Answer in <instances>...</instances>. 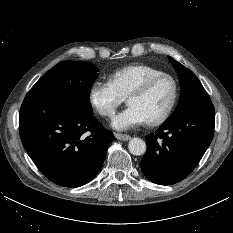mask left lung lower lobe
<instances>
[{
	"mask_svg": "<svg viewBox=\"0 0 233 233\" xmlns=\"http://www.w3.org/2000/svg\"><path fill=\"white\" fill-rule=\"evenodd\" d=\"M215 123L212 104L193 108L165 121L146 136L147 151L141 160L144 175L159 185L175 184L197 166L210 145Z\"/></svg>",
	"mask_w": 233,
	"mask_h": 233,
	"instance_id": "1",
	"label": "left lung lower lobe"
}]
</instances>
